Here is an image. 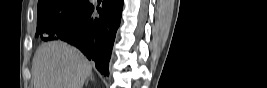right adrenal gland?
<instances>
[{
    "mask_svg": "<svg viewBox=\"0 0 267 88\" xmlns=\"http://www.w3.org/2000/svg\"><path fill=\"white\" fill-rule=\"evenodd\" d=\"M89 79H92V80H94V77H93V75H92V74H90V75H89V77H88V79H87V81H86V85H87V83H88V80H89Z\"/></svg>",
    "mask_w": 267,
    "mask_h": 88,
    "instance_id": "1",
    "label": "right adrenal gland"
}]
</instances>
